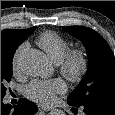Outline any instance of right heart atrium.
I'll return each instance as SVG.
<instances>
[{"mask_svg":"<svg viewBox=\"0 0 115 115\" xmlns=\"http://www.w3.org/2000/svg\"><path fill=\"white\" fill-rule=\"evenodd\" d=\"M28 43L24 42L22 43L14 52L13 58H12V71L14 74H19L21 71V61L23 58V55L28 50Z\"/></svg>","mask_w":115,"mask_h":115,"instance_id":"1","label":"right heart atrium"}]
</instances>
